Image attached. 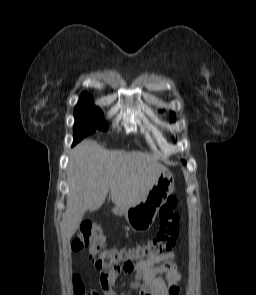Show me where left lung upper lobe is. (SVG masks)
I'll return each instance as SVG.
<instances>
[{
    "label": "left lung upper lobe",
    "mask_w": 256,
    "mask_h": 295,
    "mask_svg": "<svg viewBox=\"0 0 256 295\" xmlns=\"http://www.w3.org/2000/svg\"><path fill=\"white\" fill-rule=\"evenodd\" d=\"M170 114H171V119L170 120L173 121L174 117H175V114L173 112H171ZM183 162L185 163V161H183Z\"/></svg>",
    "instance_id": "left-lung-upper-lobe-1"
}]
</instances>
